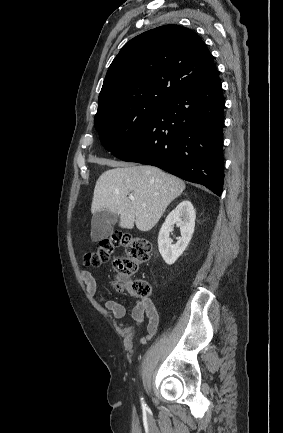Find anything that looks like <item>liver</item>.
<instances>
[{
    "label": "liver",
    "instance_id": "6515ba94",
    "mask_svg": "<svg viewBox=\"0 0 283 433\" xmlns=\"http://www.w3.org/2000/svg\"><path fill=\"white\" fill-rule=\"evenodd\" d=\"M111 170L100 174L94 188L91 212L110 210L119 214V227L150 231L161 219L185 182L157 166H134L114 160ZM134 196L135 200H130Z\"/></svg>",
    "mask_w": 283,
    "mask_h": 433
}]
</instances>
